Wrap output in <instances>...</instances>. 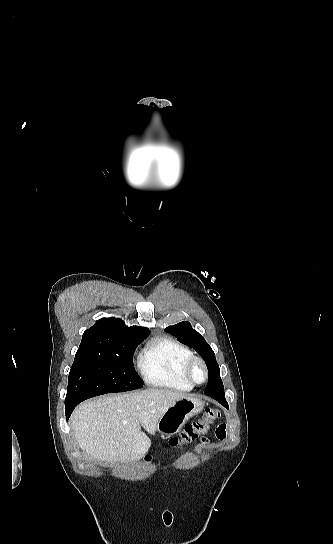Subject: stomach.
<instances>
[{
    "mask_svg": "<svg viewBox=\"0 0 333 544\" xmlns=\"http://www.w3.org/2000/svg\"><path fill=\"white\" fill-rule=\"evenodd\" d=\"M204 403L201 400L184 397L174 403L160 418L156 431L162 436H172L178 433L192 416L202 411Z\"/></svg>",
    "mask_w": 333,
    "mask_h": 544,
    "instance_id": "1",
    "label": "stomach"
}]
</instances>
